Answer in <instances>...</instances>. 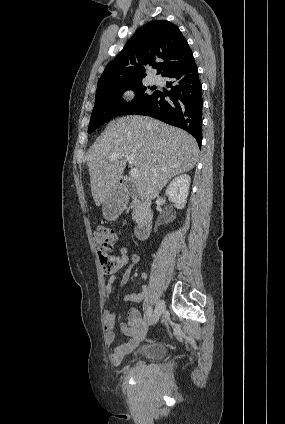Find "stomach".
<instances>
[{"label": "stomach", "mask_w": 285, "mask_h": 424, "mask_svg": "<svg viewBox=\"0 0 285 424\" xmlns=\"http://www.w3.org/2000/svg\"><path fill=\"white\" fill-rule=\"evenodd\" d=\"M125 205V201L122 195L117 191H111L102 204L103 216L107 220L116 219L122 212Z\"/></svg>", "instance_id": "stomach-1"}]
</instances>
